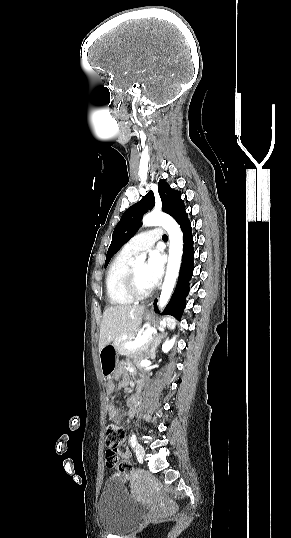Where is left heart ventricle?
<instances>
[{
    "label": "left heart ventricle",
    "mask_w": 291,
    "mask_h": 538,
    "mask_svg": "<svg viewBox=\"0 0 291 538\" xmlns=\"http://www.w3.org/2000/svg\"><path fill=\"white\" fill-rule=\"evenodd\" d=\"M133 270H134V274H135L136 281H137V284H138L139 288L142 291L149 290L151 287L148 285V283H147V281L145 279V275H144L145 265H143V264L136 265V266L133 267Z\"/></svg>",
    "instance_id": "b2bd125f"
}]
</instances>
